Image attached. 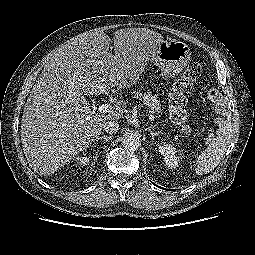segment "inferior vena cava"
<instances>
[{
  "label": "inferior vena cava",
  "instance_id": "1",
  "mask_svg": "<svg viewBox=\"0 0 255 255\" xmlns=\"http://www.w3.org/2000/svg\"><path fill=\"white\" fill-rule=\"evenodd\" d=\"M104 131L108 134H116L119 130V124L115 121H108L104 124Z\"/></svg>",
  "mask_w": 255,
  "mask_h": 255
}]
</instances>
